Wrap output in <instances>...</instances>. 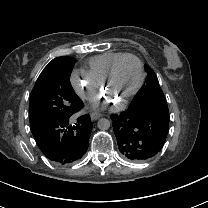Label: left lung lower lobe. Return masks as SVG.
<instances>
[{"mask_svg":"<svg viewBox=\"0 0 208 208\" xmlns=\"http://www.w3.org/2000/svg\"><path fill=\"white\" fill-rule=\"evenodd\" d=\"M110 117L119 150L126 159L143 162L153 158L162 149L169 120L129 109Z\"/></svg>","mask_w":208,"mask_h":208,"instance_id":"1","label":"left lung lower lobe"}]
</instances>
